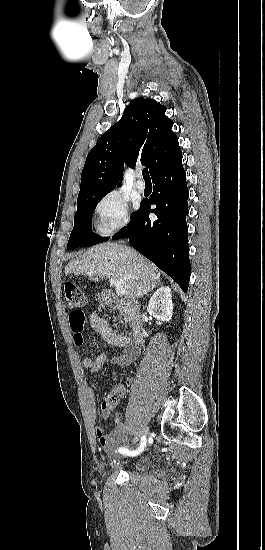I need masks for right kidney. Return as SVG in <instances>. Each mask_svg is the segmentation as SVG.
Segmentation results:
<instances>
[{
	"label": "right kidney",
	"instance_id": "ca27d5eb",
	"mask_svg": "<svg viewBox=\"0 0 265 550\" xmlns=\"http://www.w3.org/2000/svg\"><path fill=\"white\" fill-rule=\"evenodd\" d=\"M147 311L158 320L169 322L173 314L171 289L168 286L159 288L150 298Z\"/></svg>",
	"mask_w": 265,
	"mask_h": 550
}]
</instances>
